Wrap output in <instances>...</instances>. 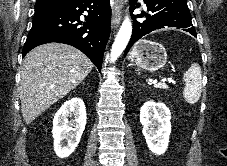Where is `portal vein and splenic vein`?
<instances>
[{
    "label": "portal vein and splenic vein",
    "instance_id": "obj_1",
    "mask_svg": "<svg viewBox=\"0 0 227 166\" xmlns=\"http://www.w3.org/2000/svg\"><path fill=\"white\" fill-rule=\"evenodd\" d=\"M166 81H167L168 83L176 84V82H175L173 79H171V78H167V79H163V80H162V82H166ZM153 83L156 84L157 81L154 80ZM164 85H165V84H164ZM166 86H167V85H166Z\"/></svg>",
    "mask_w": 227,
    "mask_h": 166
}]
</instances>
